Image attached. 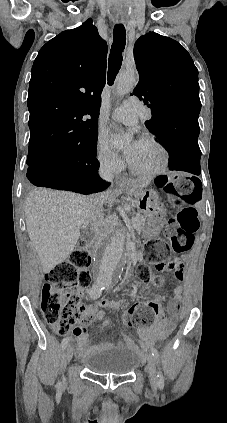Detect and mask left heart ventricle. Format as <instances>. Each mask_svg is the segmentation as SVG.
<instances>
[{
    "label": "left heart ventricle",
    "mask_w": 227,
    "mask_h": 423,
    "mask_svg": "<svg viewBox=\"0 0 227 423\" xmlns=\"http://www.w3.org/2000/svg\"><path fill=\"white\" fill-rule=\"evenodd\" d=\"M133 152L131 164L138 170L149 172L158 167L162 161L159 148L153 144L138 142L132 144L128 152Z\"/></svg>",
    "instance_id": "b2bd125f"
}]
</instances>
